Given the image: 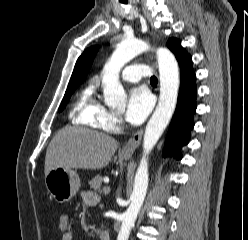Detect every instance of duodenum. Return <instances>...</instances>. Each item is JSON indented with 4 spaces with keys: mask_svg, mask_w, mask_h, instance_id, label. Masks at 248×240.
Wrapping results in <instances>:
<instances>
[{
    "mask_svg": "<svg viewBox=\"0 0 248 240\" xmlns=\"http://www.w3.org/2000/svg\"><path fill=\"white\" fill-rule=\"evenodd\" d=\"M100 240H111V236L108 232H102L99 235Z\"/></svg>",
    "mask_w": 248,
    "mask_h": 240,
    "instance_id": "duodenum-1",
    "label": "duodenum"
}]
</instances>
